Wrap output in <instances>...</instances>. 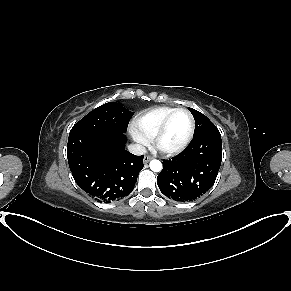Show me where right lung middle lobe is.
Masks as SVG:
<instances>
[{"label": "right lung middle lobe", "mask_w": 291, "mask_h": 291, "mask_svg": "<svg viewBox=\"0 0 291 291\" xmlns=\"http://www.w3.org/2000/svg\"><path fill=\"white\" fill-rule=\"evenodd\" d=\"M133 112L119 103H106L88 113L77 122L70 131H101L111 130L125 133Z\"/></svg>", "instance_id": "right-lung-middle-lobe-1"}]
</instances>
